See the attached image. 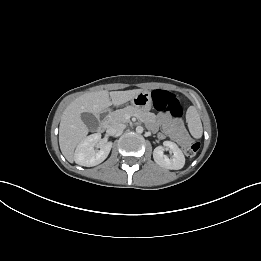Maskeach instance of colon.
<instances>
[{
  "label": "colon",
  "instance_id": "5ec220e1",
  "mask_svg": "<svg viewBox=\"0 0 261 261\" xmlns=\"http://www.w3.org/2000/svg\"><path fill=\"white\" fill-rule=\"evenodd\" d=\"M154 107L162 112L168 113L175 118H180L184 114V109L174 94L165 90H155L152 93ZM198 142L185 146L184 152L188 157H193L199 150Z\"/></svg>",
  "mask_w": 261,
  "mask_h": 261
}]
</instances>
